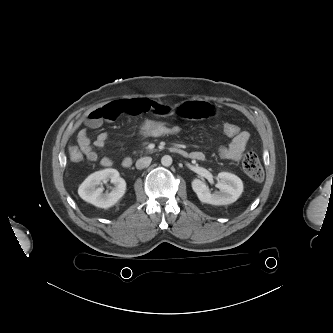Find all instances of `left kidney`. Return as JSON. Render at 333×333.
I'll use <instances>...</instances> for the list:
<instances>
[{"instance_id":"obj_1","label":"left kidney","mask_w":333,"mask_h":333,"mask_svg":"<svg viewBox=\"0 0 333 333\" xmlns=\"http://www.w3.org/2000/svg\"><path fill=\"white\" fill-rule=\"evenodd\" d=\"M219 191L211 192L208 186L199 179L192 181V189L198 199L212 205H228L234 203L243 192L242 180L228 172H221L217 175Z\"/></svg>"}]
</instances>
